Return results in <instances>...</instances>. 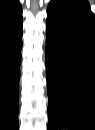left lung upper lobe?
Masks as SVG:
<instances>
[{"label": "left lung upper lobe", "instance_id": "left-lung-upper-lobe-1", "mask_svg": "<svg viewBox=\"0 0 95 130\" xmlns=\"http://www.w3.org/2000/svg\"><path fill=\"white\" fill-rule=\"evenodd\" d=\"M47 11L58 14H83L93 18L89 4L80 0H51Z\"/></svg>", "mask_w": 95, "mask_h": 130}]
</instances>
